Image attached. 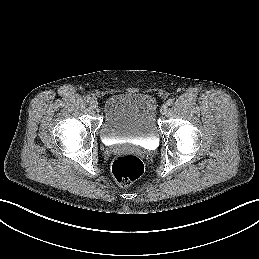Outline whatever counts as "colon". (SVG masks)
Instances as JSON below:
<instances>
[{
  "label": "colon",
  "mask_w": 259,
  "mask_h": 259,
  "mask_svg": "<svg viewBox=\"0 0 259 259\" xmlns=\"http://www.w3.org/2000/svg\"><path fill=\"white\" fill-rule=\"evenodd\" d=\"M141 159L134 154L117 156L112 163V175L121 186L130 185L143 173Z\"/></svg>",
  "instance_id": "1"
}]
</instances>
